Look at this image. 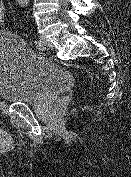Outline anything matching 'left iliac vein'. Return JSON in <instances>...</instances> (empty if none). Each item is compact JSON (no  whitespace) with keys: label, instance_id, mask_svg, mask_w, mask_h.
Returning a JSON list of instances; mask_svg holds the SVG:
<instances>
[{"label":"left iliac vein","instance_id":"4c4485c4","mask_svg":"<svg viewBox=\"0 0 131 177\" xmlns=\"http://www.w3.org/2000/svg\"><path fill=\"white\" fill-rule=\"evenodd\" d=\"M38 41L41 43V48L39 50L52 49L53 45L49 41H47L42 36L39 37Z\"/></svg>","mask_w":131,"mask_h":177}]
</instances>
